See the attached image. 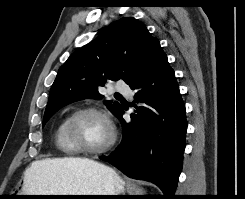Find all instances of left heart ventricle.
I'll return each mask as SVG.
<instances>
[{
	"mask_svg": "<svg viewBox=\"0 0 245 199\" xmlns=\"http://www.w3.org/2000/svg\"><path fill=\"white\" fill-rule=\"evenodd\" d=\"M73 136L89 148L104 146L110 138L107 122L100 116L88 114L78 118L73 127Z\"/></svg>",
	"mask_w": 245,
	"mask_h": 199,
	"instance_id": "1",
	"label": "left heart ventricle"
}]
</instances>
